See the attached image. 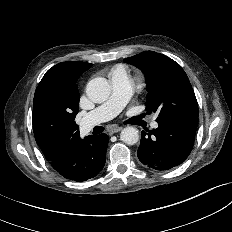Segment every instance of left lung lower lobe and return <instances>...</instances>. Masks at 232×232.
Returning <instances> with one entry per match:
<instances>
[{"label":"left lung lower lobe","mask_w":232,"mask_h":232,"mask_svg":"<svg viewBox=\"0 0 232 232\" xmlns=\"http://www.w3.org/2000/svg\"><path fill=\"white\" fill-rule=\"evenodd\" d=\"M156 121L157 129L142 131L137 156L149 168L165 171L180 165L189 156L198 117L167 116Z\"/></svg>","instance_id":"left-lung-lower-lobe-1"}]
</instances>
